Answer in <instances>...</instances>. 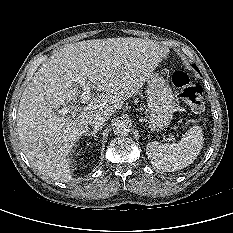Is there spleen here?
Returning <instances> with one entry per match:
<instances>
[{
	"instance_id": "1",
	"label": "spleen",
	"mask_w": 233,
	"mask_h": 233,
	"mask_svg": "<svg viewBox=\"0 0 233 233\" xmlns=\"http://www.w3.org/2000/svg\"><path fill=\"white\" fill-rule=\"evenodd\" d=\"M203 142L202 128L195 125L182 136L178 143L161 144L154 141L147 144L146 151L154 168L174 172L194 162L203 148Z\"/></svg>"
}]
</instances>
